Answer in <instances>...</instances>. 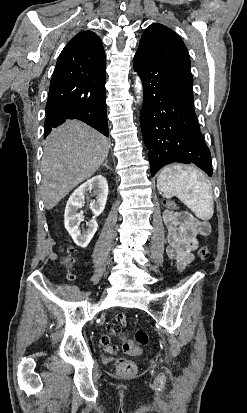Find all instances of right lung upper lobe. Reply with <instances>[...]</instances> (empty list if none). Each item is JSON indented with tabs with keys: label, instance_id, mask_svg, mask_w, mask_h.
I'll list each match as a JSON object with an SVG mask.
<instances>
[{
	"label": "right lung upper lobe",
	"instance_id": "cb5924a9",
	"mask_svg": "<svg viewBox=\"0 0 247 413\" xmlns=\"http://www.w3.org/2000/svg\"><path fill=\"white\" fill-rule=\"evenodd\" d=\"M106 65L101 39L92 31H83L73 37L62 50L56 71H88Z\"/></svg>",
	"mask_w": 247,
	"mask_h": 413
}]
</instances>
